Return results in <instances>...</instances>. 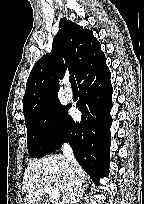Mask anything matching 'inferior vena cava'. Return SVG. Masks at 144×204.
I'll return each instance as SVG.
<instances>
[{
  "label": "inferior vena cava",
  "mask_w": 144,
  "mask_h": 204,
  "mask_svg": "<svg viewBox=\"0 0 144 204\" xmlns=\"http://www.w3.org/2000/svg\"><path fill=\"white\" fill-rule=\"evenodd\" d=\"M63 153L67 163L69 190L64 196L62 204H77L83 190L82 182L78 177L80 166L77 163L73 150L69 144L65 143L63 145Z\"/></svg>",
  "instance_id": "inferior-vena-cava-1"
}]
</instances>
